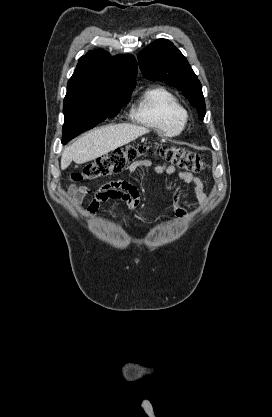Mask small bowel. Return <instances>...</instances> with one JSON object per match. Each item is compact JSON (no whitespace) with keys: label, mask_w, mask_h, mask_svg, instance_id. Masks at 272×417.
<instances>
[{"label":"small bowel","mask_w":272,"mask_h":417,"mask_svg":"<svg viewBox=\"0 0 272 417\" xmlns=\"http://www.w3.org/2000/svg\"><path fill=\"white\" fill-rule=\"evenodd\" d=\"M141 167H151L158 174H165L174 176L183 183L189 185L199 202H204L206 199L204 184L202 180L192 173L178 171L174 166L167 164H154L150 160H138L129 165V172L134 174ZM91 193L86 186L77 187L71 185L68 189V196L74 204H78L84 197ZM184 195L183 187L178 184L174 188L173 203L176 210V219L182 221L186 217V211L181 206V200ZM111 199H119L124 201L129 208L134 209L139 205L140 193L136 186L126 181H114L101 186L92 197L86 214L92 218L97 212L101 203Z\"/></svg>","instance_id":"1"}]
</instances>
